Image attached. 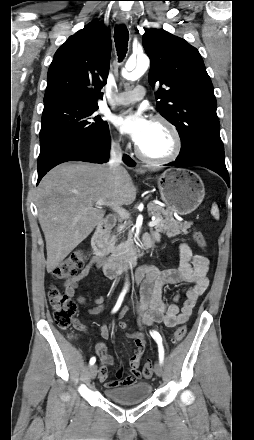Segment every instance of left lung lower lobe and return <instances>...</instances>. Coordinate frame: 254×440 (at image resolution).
<instances>
[{"instance_id": "left-lung-lower-lobe-1", "label": "left lung lower lobe", "mask_w": 254, "mask_h": 440, "mask_svg": "<svg viewBox=\"0 0 254 440\" xmlns=\"http://www.w3.org/2000/svg\"><path fill=\"white\" fill-rule=\"evenodd\" d=\"M166 166L190 167L202 166L218 173L229 186V175L225 166L224 147L222 142H202L191 154L179 155L174 162Z\"/></svg>"}]
</instances>
